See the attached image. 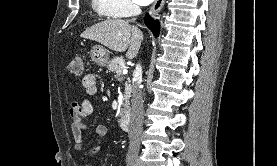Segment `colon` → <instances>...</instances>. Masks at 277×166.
I'll use <instances>...</instances> for the list:
<instances>
[{
  "instance_id": "5ec220e1",
  "label": "colon",
  "mask_w": 277,
  "mask_h": 166,
  "mask_svg": "<svg viewBox=\"0 0 277 166\" xmlns=\"http://www.w3.org/2000/svg\"><path fill=\"white\" fill-rule=\"evenodd\" d=\"M68 71L75 76H81L84 72L83 58L80 55L74 56L68 63Z\"/></svg>"
}]
</instances>
